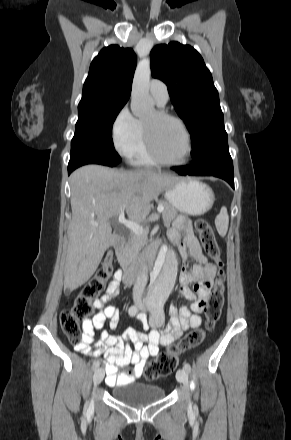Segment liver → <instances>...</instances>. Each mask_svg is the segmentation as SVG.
I'll use <instances>...</instances> for the list:
<instances>
[{"label":"liver","instance_id":"1","mask_svg":"<svg viewBox=\"0 0 291 440\" xmlns=\"http://www.w3.org/2000/svg\"><path fill=\"white\" fill-rule=\"evenodd\" d=\"M180 178L152 170L117 171L86 165L70 177L72 219L64 274V289L86 283L118 236L110 220L123 210L135 223L146 219L152 200Z\"/></svg>","mask_w":291,"mask_h":440}]
</instances>
